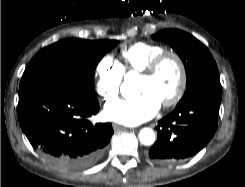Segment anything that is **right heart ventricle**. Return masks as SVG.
<instances>
[{"instance_id":"1","label":"right heart ventricle","mask_w":245,"mask_h":187,"mask_svg":"<svg viewBox=\"0 0 245 187\" xmlns=\"http://www.w3.org/2000/svg\"><path fill=\"white\" fill-rule=\"evenodd\" d=\"M167 49L156 43L136 42L120 49L119 63L123 73L140 72L146 64Z\"/></svg>"}]
</instances>
